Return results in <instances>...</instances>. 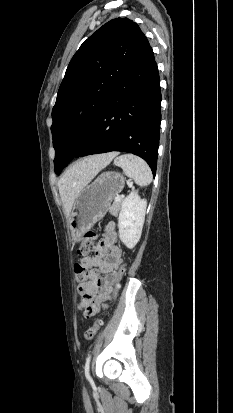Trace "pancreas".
Here are the masks:
<instances>
[{
  "mask_svg": "<svg viewBox=\"0 0 233 413\" xmlns=\"http://www.w3.org/2000/svg\"><path fill=\"white\" fill-rule=\"evenodd\" d=\"M122 203H123L122 200L118 202L114 201L113 204L109 207L110 214L113 216H117L119 213V210L121 209Z\"/></svg>",
  "mask_w": 233,
  "mask_h": 413,
  "instance_id": "1",
  "label": "pancreas"
}]
</instances>
